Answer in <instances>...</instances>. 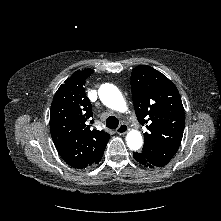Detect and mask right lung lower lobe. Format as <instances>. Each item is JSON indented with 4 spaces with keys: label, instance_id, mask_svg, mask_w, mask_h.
<instances>
[{
    "label": "right lung lower lobe",
    "instance_id": "right-lung-lower-lobe-1",
    "mask_svg": "<svg viewBox=\"0 0 221 221\" xmlns=\"http://www.w3.org/2000/svg\"><path fill=\"white\" fill-rule=\"evenodd\" d=\"M102 158V157H101ZM101 158H100V160H101ZM100 160L97 162V163H99L100 162Z\"/></svg>",
    "mask_w": 221,
    "mask_h": 221
}]
</instances>
